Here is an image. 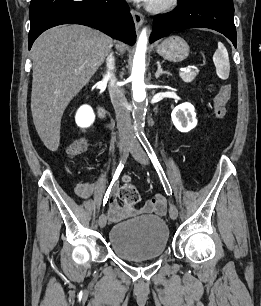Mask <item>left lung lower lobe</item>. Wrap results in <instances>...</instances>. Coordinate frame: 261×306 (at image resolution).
Listing matches in <instances>:
<instances>
[{
    "instance_id": "left-lung-lower-lobe-1",
    "label": "left lung lower lobe",
    "mask_w": 261,
    "mask_h": 306,
    "mask_svg": "<svg viewBox=\"0 0 261 306\" xmlns=\"http://www.w3.org/2000/svg\"><path fill=\"white\" fill-rule=\"evenodd\" d=\"M194 27L216 30L224 34L236 47L233 1L179 0V6L174 12L155 16L150 42L173 31Z\"/></svg>"
}]
</instances>
